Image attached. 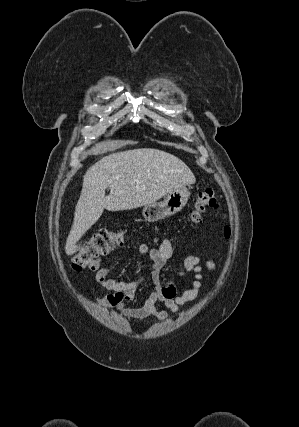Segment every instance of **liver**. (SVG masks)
I'll use <instances>...</instances> for the list:
<instances>
[{"instance_id": "6515ba94", "label": "liver", "mask_w": 299, "mask_h": 427, "mask_svg": "<svg viewBox=\"0 0 299 427\" xmlns=\"http://www.w3.org/2000/svg\"><path fill=\"white\" fill-rule=\"evenodd\" d=\"M195 182L194 174L182 160L162 150L139 148L104 157L83 177L66 240V254L70 256L78 251L76 243L96 223L104 209H135ZM107 188L110 193L105 196Z\"/></svg>"}]
</instances>
